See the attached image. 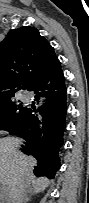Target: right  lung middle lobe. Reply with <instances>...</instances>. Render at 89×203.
Returning a JSON list of instances; mask_svg holds the SVG:
<instances>
[{"label": "right lung middle lobe", "instance_id": "dd1d6c3e", "mask_svg": "<svg viewBox=\"0 0 89 203\" xmlns=\"http://www.w3.org/2000/svg\"><path fill=\"white\" fill-rule=\"evenodd\" d=\"M27 108L21 105L17 107L13 101L0 106V127H5L12 133L17 127L18 122L26 113Z\"/></svg>", "mask_w": 89, "mask_h": 203}]
</instances>
